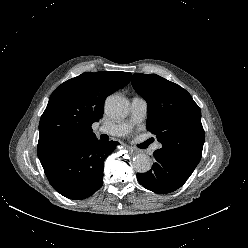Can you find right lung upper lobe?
<instances>
[{"instance_id":"1","label":"right lung upper lobe","mask_w":248,"mask_h":248,"mask_svg":"<svg viewBox=\"0 0 248 248\" xmlns=\"http://www.w3.org/2000/svg\"><path fill=\"white\" fill-rule=\"evenodd\" d=\"M131 76L121 71L85 72L58 86L39 123L40 161L72 139L94 136L91 125L103 116L104 100L126 86Z\"/></svg>"}]
</instances>
